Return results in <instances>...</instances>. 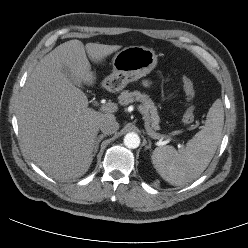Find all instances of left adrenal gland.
I'll return each instance as SVG.
<instances>
[{
  "label": "left adrenal gland",
  "instance_id": "1",
  "mask_svg": "<svg viewBox=\"0 0 248 248\" xmlns=\"http://www.w3.org/2000/svg\"><path fill=\"white\" fill-rule=\"evenodd\" d=\"M149 144L146 146V149H150L151 148V141L148 140Z\"/></svg>",
  "mask_w": 248,
  "mask_h": 248
}]
</instances>
